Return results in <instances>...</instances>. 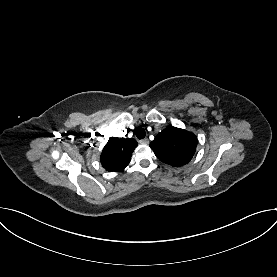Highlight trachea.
<instances>
[{"instance_id": "obj_1", "label": "trachea", "mask_w": 277, "mask_h": 277, "mask_svg": "<svg viewBox=\"0 0 277 277\" xmlns=\"http://www.w3.org/2000/svg\"><path fill=\"white\" fill-rule=\"evenodd\" d=\"M135 134L138 139H143L146 135V132L142 127H137L135 130Z\"/></svg>"}]
</instances>
